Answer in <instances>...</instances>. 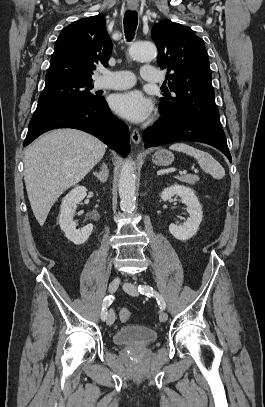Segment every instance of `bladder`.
Wrapping results in <instances>:
<instances>
[{"label":"bladder","mask_w":265,"mask_h":407,"mask_svg":"<svg viewBox=\"0 0 265 407\" xmlns=\"http://www.w3.org/2000/svg\"><path fill=\"white\" fill-rule=\"evenodd\" d=\"M157 339V332L145 326L127 325L119 329L113 336L118 345L147 346Z\"/></svg>","instance_id":"1"}]
</instances>
